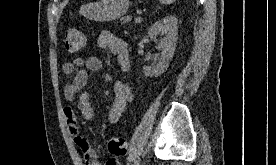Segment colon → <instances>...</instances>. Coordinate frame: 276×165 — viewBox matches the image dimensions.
<instances>
[{
	"mask_svg": "<svg viewBox=\"0 0 276 165\" xmlns=\"http://www.w3.org/2000/svg\"><path fill=\"white\" fill-rule=\"evenodd\" d=\"M64 41L67 51L71 53L83 50L87 43L84 33L75 27L65 31ZM108 150L113 156H123L127 153V143L123 137H113L108 142Z\"/></svg>",
	"mask_w": 276,
	"mask_h": 165,
	"instance_id": "5ec220e1",
	"label": "colon"
}]
</instances>
